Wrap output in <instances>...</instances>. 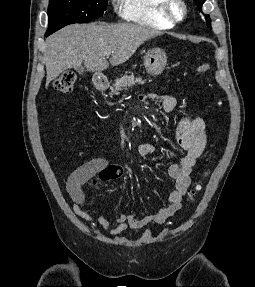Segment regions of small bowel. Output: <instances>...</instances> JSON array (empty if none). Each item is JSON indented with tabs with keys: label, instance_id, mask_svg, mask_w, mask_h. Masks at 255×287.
Segmentation results:
<instances>
[{
	"label": "small bowel",
	"instance_id": "1",
	"mask_svg": "<svg viewBox=\"0 0 255 287\" xmlns=\"http://www.w3.org/2000/svg\"><path fill=\"white\" fill-rule=\"evenodd\" d=\"M166 112H171L177 106V99L170 95L159 97ZM176 138L179 145L186 150V154L177 163L169 166L168 174L174 179V189L167 196V205L153 215L137 218L132 213H122L114 221L103 216L93 219L85 211V195L83 186L88 182H106L123 176V169L119 165L110 164L104 158H94L77 169L66 182L67 192L73 201L74 212L91 224H99L111 235H120L128 228L139 229L150 223L162 224L182 208V199L189 189L190 174L197 159L206 148L207 138L205 123L201 118L183 117L177 127ZM156 151L154 144L145 142L137 147V154L141 158L151 156Z\"/></svg>",
	"mask_w": 255,
	"mask_h": 287
}]
</instances>
